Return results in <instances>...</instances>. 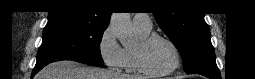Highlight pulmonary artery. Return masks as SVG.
Wrapping results in <instances>:
<instances>
[{
  "instance_id": "obj_1",
  "label": "pulmonary artery",
  "mask_w": 255,
  "mask_h": 79,
  "mask_svg": "<svg viewBox=\"0 0 255 79\" xmlns=\"http://www.w3.org/2000/svg\"><path fill=\"white\" fill-rule=\"evenodd\" d=\"M134 27L142 28L145 30H150L152 28V23L147 14H136L133 17Z\"/></svg>"
}]
</instances>
